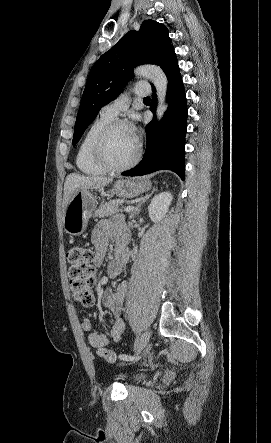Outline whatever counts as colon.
I'll use <instances>...</instances> for the list:
<instances>
[{
	"mask_svg": "<svg viewBox=\"0 0 271 443\" xmlns=\"http://www.w3.org/2000/svg\"><path fill=\"white\" fill-rule=\"evenodd\" d=\"M66 256L69 262L68 276L74 299L84 307H92L95 302L94 251L86 245H75L67 251ZM98 355L110 363L117 360L116 354L107 348L99 349Z\"/></svg>",
	"mask_w": 271,
	"mask_h": 443,
	"instance_id": "colon-1",
	"label": "colon"
}]
</instances>
